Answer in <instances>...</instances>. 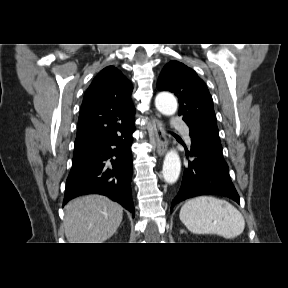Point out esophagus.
Wrapping results in <instances>:
<instances>
[{
    "label": "esophagus",
    "instance_id": "34e87169",
    "mask_svg": "<svg viewBox=\"0 0 288 288\" xmlns=\"http://www.w3.org/2000/svg\"><path fill=\"white\" fill-rule=\"evenodd\" d=\"M151 124L154 130V136L156 141V151L159 156H163L167 150L168 140L166 132L163 128V124L157 118H152Z\"/></svg>",
    "mask_w": 288,
    "mask_h": 288
}]
</instances>
